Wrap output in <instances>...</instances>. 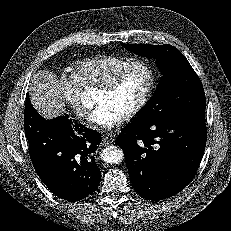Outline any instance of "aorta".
<instances>
[{
    "mask_svg": "<svg viewBox=\"0 0 231 231\" xmlns=\"http://www.w3.org/2000/svg\"><path fill=\"white\" fill-rule=\"evenodd\" d=\"M101 158L110 164H118L124 158V153L121 148L117 146H107L101 152Z\"/></svg>",
    "mask_w": 231,
    "mask_h": 231,
    "instance_id": "obj_1",
    "label": "aorta"
}]
</instances>
